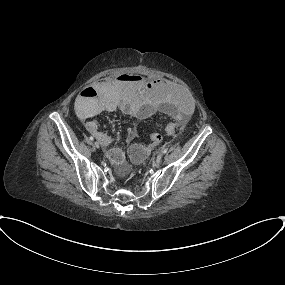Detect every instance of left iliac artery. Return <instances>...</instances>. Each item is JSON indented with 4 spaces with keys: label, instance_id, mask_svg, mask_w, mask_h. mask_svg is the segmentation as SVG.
<instances>
[{
    "label": "left iliac artery",
    "instance_id": "obj_1",
    "mask_svg": "<svg viewBox=\"0 0 285 285\" xmlns=\"http://www.w3.org/2000/svg\"><path fill=\"white\" fill-rule=\"evenodd\" d=\"M167 152V149L166 148H164L163 150H162V153H166Z\"/></svg>",
    "mask_w": 285,
    "mask_h": 285
}]
</instances>
